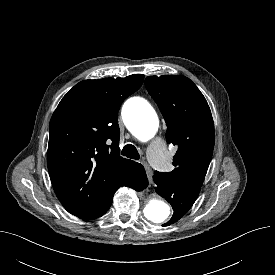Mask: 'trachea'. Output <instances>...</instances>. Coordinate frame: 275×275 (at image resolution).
<instances>
[{"mask_svg": "<svg viewBox=\"0 0 275 275\" xmlns=\"http://www.w3.org/2000/svg\"><path fill=\"white\" fill-rule=\"evenodd\" d=\"M121 154L123 156H126L131 159H135V160H138L140 158V155H139L136 147L131 144H127L126 146H124Z\"/></svg>", "mask_w": 275, "mask_h": 275, "instance_id": "1", "label": "trachea"}]
</instances>
